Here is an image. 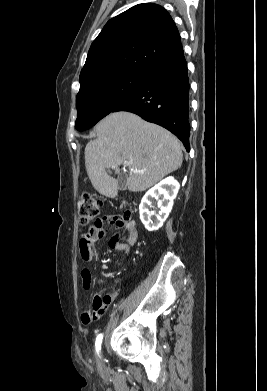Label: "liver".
I'll return each mask as SVG.
<instances>
[{"mask_svg":"<svg viewBox=\"0 0 267 391\" xmlns=\"http://www.w3.org/2000/svg\"><path fill=\"white\" fill-rule=\"evenodd\" d=\"M95 132L97 139L85 147V166L93 187L104 196L113 198L117 193V180L108 175V168L119 174V166L129 162L124 164L130 169L126 179L128 188L141 192L181 167L183 155L179 140L166 129L133 113H111L95 126Z\"/></svg>","mask_w":267,"mask_h":391,"instance_id":"obj_1","label":"liver"}]
</instances>
